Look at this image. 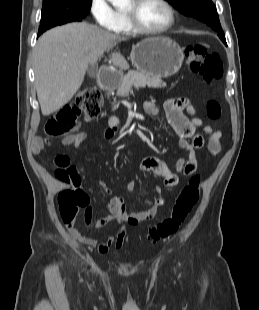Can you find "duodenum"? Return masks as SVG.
I'll return each instance as SVG.
<instances>
[{
    "mask_svg": "<svg viewBox=\"0 0 259 310\" xmlns=\"http://www.w3.org/2000/svg\"><path fill=\"white\" fill-rule=\"evenodd\" d=\"M121 77L119 74L116 73H105L101 72L99 75V83L104 90H111L117 87L120 83ZM117 130V126L112 125L106 131L107 136H112Z\"/></svg>",
    "mask_w": 259,
    "mask_h": 310,
    "instance_id": "410a0bca",
    "label": "duodenum"
}]
</instances>
